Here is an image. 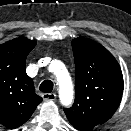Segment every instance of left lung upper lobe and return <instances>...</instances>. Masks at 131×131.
<instances>
[{"label":"left lung upper lobe","instance_id":"left-lung-upper-lobe-1","mask_svg":"<svg viewBox=\"0 0 131 131\" xmlns=\"http://www.w3.org/2000/svg\"><path fill=\"white\" fill-rule=\"evenodd\" d=\"M72 49L76 98L64 112L76 129L91 131L117 110L123 94L122 72L113 55L91 39L81 36L73 39Z\"/></svg>","mask_w":131,"mask_h":131}]
</instances>
